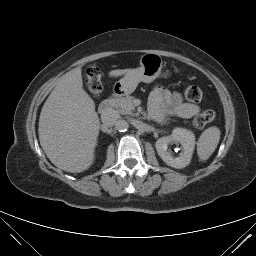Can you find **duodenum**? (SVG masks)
<instances>
[{
    "instance_id": "duodenum-1",
    "label": "duodenum",
    "mask_w": 256,
    "mask_h": 256,
    "mask_svg": "<svg viewBox=\"0 0 256 256\" xmlns=\"http://www.w3.org/2000/svg\"><path fill=\"white\" fill-rule=\"evenodd\" d=\"M122 94H123L122 91L117 90L110 97L102 101L101 104L99 105V113L107 114L111 110L115 99L121 96Z\"/></svg>"
}]
</instances>
